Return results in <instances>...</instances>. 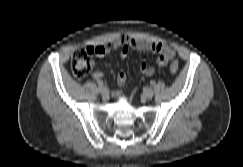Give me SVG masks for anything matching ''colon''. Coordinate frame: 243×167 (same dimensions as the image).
<instances>
[{"label": "colon", "instance_id": "1", "mask_svg": "<svg viewBox=\"0 0 243 167\" xmlns=\"http://www.w3.org/2000/svg\"><path fill=\"white\" fill-rule=\"evenodd\" d=\"M94 50L90 47L76 49L71 57V67L73 73L81 78L88 75L93 68ZM179 69L178 62L173 61L170 65V72L175 74Z\"/></svg>", "mask_w": 243, "mask_h": 167}]
</instances>
